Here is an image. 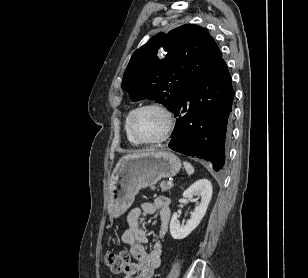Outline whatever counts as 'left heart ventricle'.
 <instances>
[{
  "label": "left heart ventricle",
  "instance_id": "1",
  "mask_svg": "<svg viewBox=\"0 0 308 278\" xmlns=\"http://www.w3.org/2000/svg\"><path fill=\"white\" fill-rule=\"evenodd\" d=\"M133 128L136 134L144 139H156L165 131L166 118L157 109H143L134 116Z\"/></svg>",
  "mask_w": 308,
  "mask_h": 278
}]
</instances>
